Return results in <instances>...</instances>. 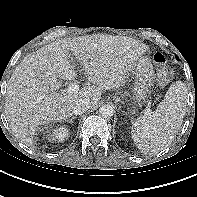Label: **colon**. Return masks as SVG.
Instances as JSON below:
<instances>
[{
	"instance_id": "obj_1",
	"label": "colon",
	"mask_w": 197,
	"mask_h": 197,
	"mask_svg": "<svg viewBox=\"0 0 197 197\" xmlns=\"http://www.w3.org/2000/svg\"><path fill=\"white\" fill-rule=\"evenodd\" d=\"M153 61L157 69V77L161 84H167L172 79V72L168 67L167 60L162 53H155Z\"/></svg>"
}]
</instances>
